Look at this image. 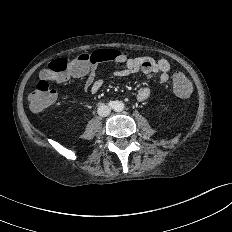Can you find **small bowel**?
I'll list each match as a JSON object with an SVG mask.
<instances>
[{"instance_id": "c3829d8e", "label": "small bowel", "mask_w": 232, "mask_h": 232, "mask_svg": "<svg viewBox=\"0 0 232 232\" xmlns=\"http://www.w3.org/2000/svg\"><path fill=\"white\" fill-rule=\"evenodd\" d=\"M112 51L115 55L110 61H113L117 65V69L111 72L112 76L121 78L141 72L146 76L159 74V81L161 84H166L169 81L171 65L166 59L155 60L147 56L129 58L122 51ZM70 75L75 78L85 77L83 87L85 93L95 94L104 84V78H95V69H87L82 73L69 72L67 75L60 78L58 83L65 82ZM150 94V87L143 86L138 90L136 99L139 102H143L150 96Z\"/></svg>"}]
</instances>
